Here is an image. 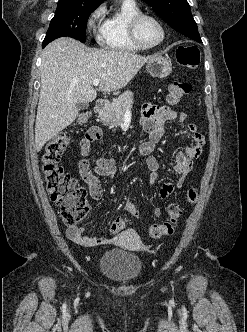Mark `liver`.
Segmentation results:
<instances>
[{"label":"liver","instance_id":"obj_1","mask_svg":"<svg viewBox=\"0 0 247 332\" xmlns=\"http://www.w3.org/2000/svg\"><path fill=\"white\" fill-rule=\"evenodd\" d=\"M152 58L128 51H87L82 43L69 37L47 45L41 56L36 150L75 121L79 102L89 103L96 98L92 86L95 79L100 80V91L118 94Z\"/></svg>","mask_w":247,"mask_h":332}]
</instances>
